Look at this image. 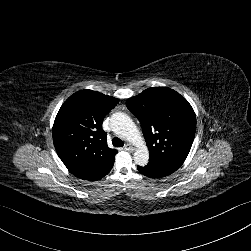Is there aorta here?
<instances>
[{
  "mask_svg": "<svg viewBox=\"0 0 251 251\" xmlns=\"http://www.w3.org/2000/svg\"><path fill=\"white\" fill-rule=\"evenodd\" d=\"M110 127L120 138L132 142L137 147L133 157L135 164L139 166L147 165L149 152L141 132L132 119L123 112H116L110 118Z\"/></svg>",
  "mask_w": 251,
  "mask_h": 251,
  "instance_id": "aorta-1",
  "label": "aorta"
}]
</instances>
